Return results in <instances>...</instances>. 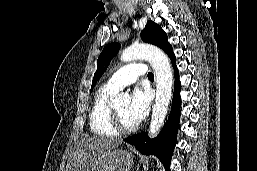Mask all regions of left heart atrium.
Returning a JSON list of instances; mask_svg holds the SVG:
<instances>
[{
    "mask_svg": "<svg viewBox=\"0 0 257 171\" xmlns=\"http://www.w3.org/2000/svg\"><path fill=\"white\" fill-rule=\"evenodd\" d=\"M150 108V94L147 89L137 87L131 95L128 113L136 122L142 121L148 114Z\"/></svg>",
    "mask_w": 257,
    "mask_h": 171,
    "instance_id": "left-heart-atrium-1",
    "label": "left heart atrium"
}]
</instances>
